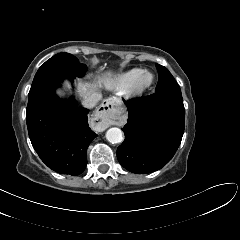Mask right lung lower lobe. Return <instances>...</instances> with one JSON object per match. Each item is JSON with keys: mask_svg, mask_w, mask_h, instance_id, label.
I'll return each mask as SVG.
<instances>
[{"mask_svg": "<svg viewBox=\"0 0 240 240\" xmlns=\"http://www.w3.org/2000/svg\"><path fill=\"white\" fill-rule=\"evenodd\" d=\"M62 81H50L28 96L26 122L40 159L57 173L77 176L87 165V148L97 135L88 125V109L77 107L73 98L62 101L55 95Z\"/></svg>", "mask_w": 240, "mask_h": 240, "instance_id": "right-lung-lower-lobe-1", "label": "right lung lower lobe"}]
</instances>
